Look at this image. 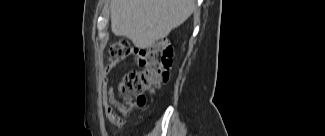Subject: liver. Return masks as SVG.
<instances>
[{
    "label": "liver",
    "mask_w": 325,
    "mask_h": 136,
    "mask_svg": "<svg viewBox=\"0 0 325 136\" xmlns=\"http://www.w3.org/2000/svg\"><path fill=\"white\" fill-rule=\"evenodd\" d=\"M195 9V0H111V30L145 49L183 24Z\"/></svg>",
    "instance_id": "6515ba94"
}]
</instances>
